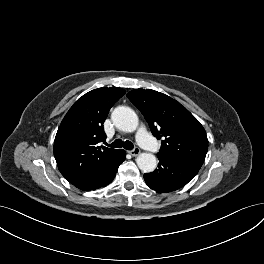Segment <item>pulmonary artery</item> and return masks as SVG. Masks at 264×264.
I'll list each match as a JSON object with an SVG mask.
<instances>
[{"mask_svg": "<svg viewBox=\"0 0 264 264\" xmlns=\"http://www.w3.org/2000/svg\"><path fill=\"white\" fill-rule=\"evenodd\" d=\"M137 141L143 148L151 152L158 151V144L143 126L137 132Z\"/></svg>", "mask_w": 264, "mask_h": 264, "instance_id": "e3ab8cb5", "label": "pulmonary artery"}]
</instances>
